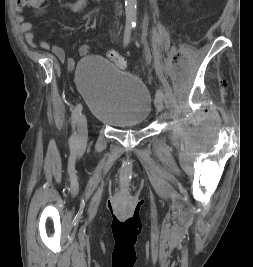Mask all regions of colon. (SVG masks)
I'll return each instance as SVG.
<instances>
[{"label": "colon", "instance_id": "1", "mask_svg": "<svg viewBox=\"0 0 253 267\" xmlns=\"http://www.w3.org/2000/svg\"><path fill=\"white\" fill-rule=\"evenodd\" d=\"M43 1L44 0H15V3L19 7H38ZM108 55L118 68L125 69L127 67V61L124 57L114 51H110Z\"/></svg>", "mask_w": 253, "mask_h": 267}]
</instances>
